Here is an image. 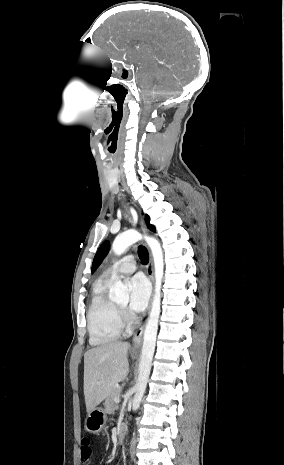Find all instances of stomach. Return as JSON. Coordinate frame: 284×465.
Instances as JSON below:
<instances>
[{
    "label": "stomach",
    "instance_id": "0dacf381",
    "mask_svg": "<svg viewBox=\"0 0 284 465\" xmlns=\"http://www.w3.org/2000/svg\"><path fill=\"white\" fill-rule=\"evenodd\" d=\"M132 357H137L134 353H131ZM106 423V413L104 409L98 407V409H93L88 413L85 419L84 429L87 433H93V435H97L100 433L102 429H104V425Z\"/></svg>",
    "mask_w": 284,
    "mask_h": 465
}]
</instances>
